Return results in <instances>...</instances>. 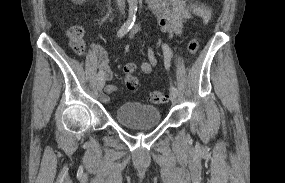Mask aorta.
Instances as JSON below:
<instances>
[{
    "label": "aorta",
    "instance_id": "762f6f07",
    "mask_svg": "<svg viewBox=\"0 0 285 183\" xmlns=\"http://www.w3.org/2000/svg\"><path fill=\"white\" fill-rule=\"evenodd\" d=\"M130 9H137L138 0H128Z\"/></svg>",
    "mask_w": 285,
    "mask_h": 183
}]
</instances>
